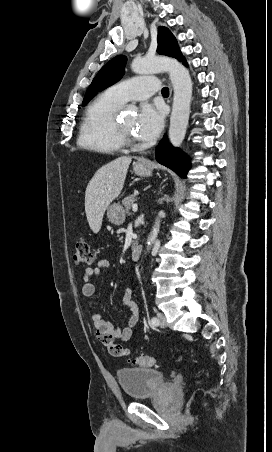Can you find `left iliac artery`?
<instances>
[{
    "label": "left iliac artery",
    "mask_w": 272,
    "mask_h": 452,
    "mask_svg": "<svg viewBox=\"0 0 272 452\" xmlns=\"http://www.w3.org/2000/svg\"><path fill=\"white\" fill-rule=\"evenodd\" d=\"M150 323L153 326H158L159 321H158V319L156 317H152L151 320H150Z\"/></svg>",
    "instance_id": "44dca946"
}]
</instances>
